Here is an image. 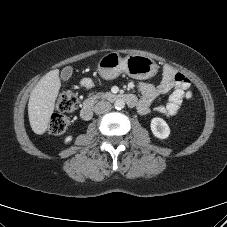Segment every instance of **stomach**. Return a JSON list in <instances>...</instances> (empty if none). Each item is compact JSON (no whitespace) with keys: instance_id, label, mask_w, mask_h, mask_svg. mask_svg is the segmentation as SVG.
<instances>
[{"instance_id":"0dacf381","label":"stomach","mask_w":227,"mask_h":227,"mask_svg":"<svg viewBox=\"0 0 227 227\" xmlns=\"http://www.w3.org/2000/svg\"><path fill=\"white\" fill-rule=\"evenodd\" d=\"M97 70L106 80L114 79L123 72L134 79H148L157 73L158 65L144 55L133 54L122 58L119 53L111 52L99 60Z\"/></svg>"}]
</instances>
